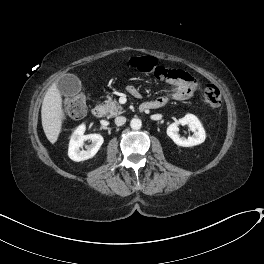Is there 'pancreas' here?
<instances>
[{
	"label": "pancreas",
	"instance_id": "1",
	"mask_svg": "<svg viewBox=\"0 0 264 264\" xmlns=\"http://www.w3.org/2000/svg\"><path fill=\"white\" fill-rule=\"evenodd\" d=\"M104 107L106 111L105 115L108 118L120 115L124 112L122 106L116 100H112L111 98L106 100Z\"/></svg>",
	"mask_w": 264,
	"mask_h": 264
}]
</instances>
